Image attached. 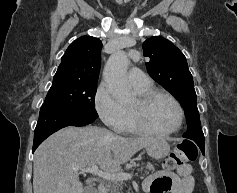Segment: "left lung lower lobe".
I'll return each mask as SVG.
<instances>
[{
	"label": "left lung lower lobe",
	"instance_id": "1",
	"mask_svg": "<svg viewBox=\"0 0 237 193\" xmlns=\"http://www.w3.org/2000/svg\"><path fill=\"white\" fill-rule=\"evenodd\" d=\"M200 150H201L202 154L204 155V153H205V148H204V147H200Z\"/></svg>",
	"mask_w": 237,
	"mask_h": 193
}]
</instances>
